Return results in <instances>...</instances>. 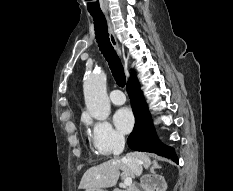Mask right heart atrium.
<instances>
[{
    "instance_id": "d8ad5b80",
    "label": "right heart atrium",
    "mask_w": 233,
    "mask_h": 191,
    "mask_svg": "<svg viewBox=\"0 0 233 191\" xmlns=\"http://www.w3.org/2000/svg\"><path fill=\"white\" fill-rule=\"evenodd\" d=\"M92 144L103 156L110 155L124 144V137L107 121L91 122Z\"/></svg>"
}]
</instances>
